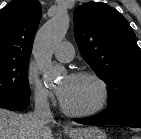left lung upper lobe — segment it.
Listing matches in <instances>:
<instances>
[{
  "label": "left lung upper lobe",
  "mask_w": 141,
  "mask_h": 139,
  "mask_svg": "<svg viewBox=\"0 0 141 139\" xmlns=\"http://www.w3.org/2000/svg\"><path fill=\"white\" fill-rule=\"evenodd\" d=\"M74 34L84 60L106 83L108 107L141 96V53L128 21L112 7L86 3L74 11Z\"/></svg>",
  "instance_id": "1"
}]
</instances>
